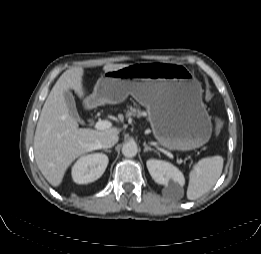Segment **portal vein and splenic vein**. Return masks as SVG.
<instances>
[{
	"label": "portal vein and splenic vein",
	"instance_id": "obj_1",
	"mask_svg": "<svg viewBox=\"0 0 261 254\" xmlns=\"http://www.w3.org/2000/svg\"><path fill=\"white\" fill-rule=\"evenodd\" d=\"M97 130H106L112 127V123L108 120H99L94 126Z\"/></svg>",
	"mask_w": 261,
	"mask_h": 254
}]
</instances>
